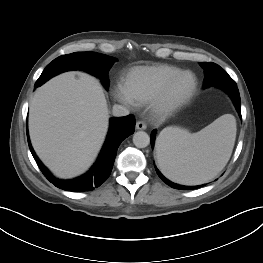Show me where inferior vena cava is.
Masks as SVG:
<instances>
[{"mask_svg": "<svg viewBox=\"0 0 263 263\" xmlns=\"http://www.w3.org/2000/svg\"><path fill=\"white\" fill-rule=\"evenodd\" d=\"M112 114L116 117L126 116L129 114V110L124 106L115 104L112 109Z\"/></svg>", "mask_w": 263, "mask_h": 263, "instance_id": "602c4592", "label": "inferior vena cava"}]
</instances>
